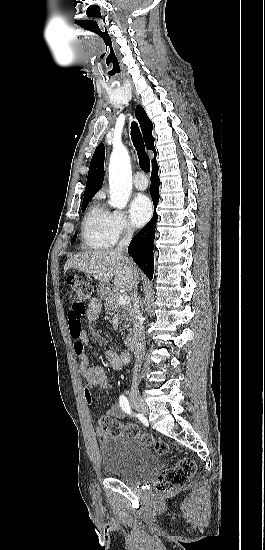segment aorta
I'll list each match as a JSON object with an SVG mask.
<instances>
[{
	"label": "aorta",
	"instance_id": "1",
	"mask_svg": "<svg viewBox=\"0 0 265 550\" xmlns=\"http://www.w3.org/2000/svg\"><path fill=\"white\" fill-rule=\"evenodd\" d=\"M110 205L124 209L132 190L130 157L123 145L114 146L109 163Z\"/></svg>",
	"mask_w": 265,
	"mask_h": 550
}]
</instances>
